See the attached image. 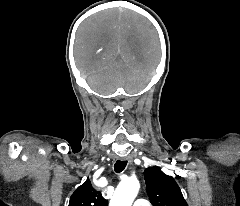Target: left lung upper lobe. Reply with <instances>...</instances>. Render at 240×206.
Masks as SVG:
<instances>
[{"mask_svg": "<svg viewBox=\"0 0 240 206\" xmlns=\"http://www.w3.org/2000/svg\"><path fill=\"white\" fill-rule=\"evenodd\" d=\"M146 190L153 206H188L173 177L159 167L144 171Z\"/></svg>", "mask_w": 240, "mask_h": 206, "instance_id": "1", "label": "left lung upper lobe"}]
</instances>
